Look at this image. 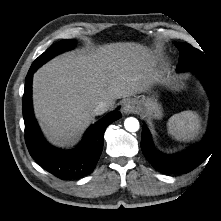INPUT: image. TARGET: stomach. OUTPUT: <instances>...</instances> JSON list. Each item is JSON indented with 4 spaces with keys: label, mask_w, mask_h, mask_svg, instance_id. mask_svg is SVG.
<instances>
[{
    "label": "stomach",
    "mask_w": 221,
    "mask_h": 221,
    "mask_svg": "<svg viewBox=\"0 0 221 221\" xmlns=\"http://www.w3.org/2000/svg\"><path fill=\"white\" fill-rule=\"evenodd\" d=\"M139 104L147 117L155 119H160L162 117V107L157 102V99L153 97H142L139 100Z\"/></svg>",
    "instance_id": "1"
}]
</instances>
